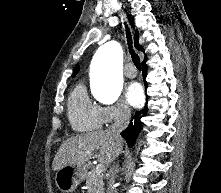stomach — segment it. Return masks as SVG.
I'll use <instances>...</instances> for the list:
<instances>
[{"instance_id":"stomach-1","label":"stomach","mask_w":221,"mask_h":193,"mask_svg":"<svg viewBox=\"0 0 221 193\" xmlns=\"http://www.w3.org/2000/svg\"><path fill=\"white\" fill-rule=\"evenodd\" d=\"M86 175L87 170L85 166L64 165L57 170L55 183L59 190L64 193H70L77 188Z\"/></svg>"}]
</instances>
